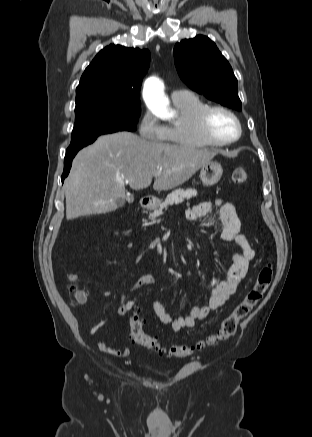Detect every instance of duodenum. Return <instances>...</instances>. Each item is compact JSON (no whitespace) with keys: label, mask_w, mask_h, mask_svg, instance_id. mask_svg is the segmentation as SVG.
<instances>
[{"label":"duodenum","mask_w":312,"mask_h":437,"mask_svg":"<svg viewBox=\"0 0 312 437\" xmlns=\"http://www.w3.org/2000/svg\"><path fill=\"white\" fill-rule=\"evenodd\" d=\"M155 198L151 196H147L141 200V205L145 209L152 208L155 205Z\"/></svg>","instance_id":"duodenum-1"}]
</instances>
